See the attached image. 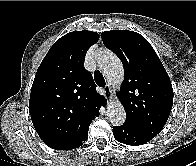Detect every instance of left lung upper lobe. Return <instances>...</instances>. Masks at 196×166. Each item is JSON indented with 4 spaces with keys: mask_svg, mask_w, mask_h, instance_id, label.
<instances>
[{
    "mask_svg": "<svg viewBox=\"0 0 196 166\" xmlns=\"http://www.w3.org/2000/svg\"><path fill=\"white\" fill-rule=\"evenodd\" d=\"M101 35L123 63L124 81L117 95L126 111L125 124L160 133L172 109L173 88L154 49L136 32L112 30Z\"/></svg>",
    "mask_w": 196,
    "mask_h": 166,
    "instance_id": "1",
    "label": "left lung upper lobe"
}]
</instances>
